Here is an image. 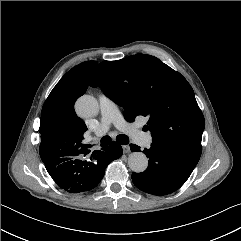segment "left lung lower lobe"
I'll return each instance as SVG.
<instances>
[{"instance_id": "left-lung-lower-lobe-1", "label": "left lung lower lobe", "mask_w": 241, "mask_h": 241, "mask_svg": "<svg viewBox=\"0 0 241 241\" xmlns=\"http://www.w3.org/2000/svg\"><path fill=\"white\" fill-rule=\"evenodd\" d=\"M130 149L140 151V147L134 144H130ZM143 153L149 157L148 168L143 173H132L133 183L140 190L158 196L179 189L200 158L181 149L154 142Z\"/></svg>"}]
</instances>
